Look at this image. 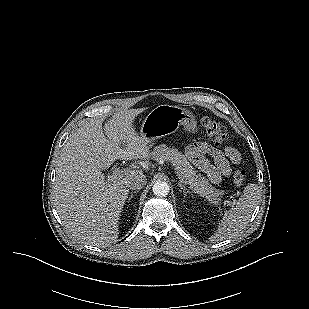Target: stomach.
<instances>
[{"mask_svg":"<svg viewBox=\"0 0 309 309\" xmlns=\"http://www.w3.org/2000/svg\"><path fill=\"white\" fill-rule=\"evenodd\" d=\"M181 125L189 133H194L197 129L195 117L188 110L178 106L159 105L145 117L140 136L151 144L156 139L176 132Z\"/></svg>","mask_w":309,"mask_h":309,"instance_id":"stomach-1","label":"stomach"}]
</instances>
